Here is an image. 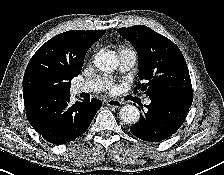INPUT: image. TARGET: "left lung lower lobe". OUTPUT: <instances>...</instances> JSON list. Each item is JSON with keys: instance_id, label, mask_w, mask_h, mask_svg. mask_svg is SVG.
<instances>
[{"instance_id": "1", "label": "left lung lower lobe", "mask_w": 224, "mask_h": 175, "mask_svg": "<svg viewBox=\"0 0 224 175\" xmlns=\"http://www.w3.org/2000/svg\"><path fill=\"white\" fill-rule=\"evenodd\" d=\"M150 99L151 104L146 106L147 111L130 130L141 140L160 142L181 127L193 99L189 96L172 94L152 96Z\"/></svg>"}]
</instances>
